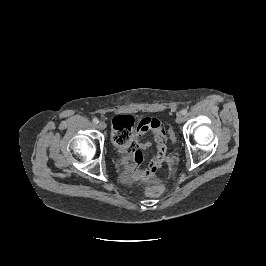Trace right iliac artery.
<instances>
[{"label": "right iliac artery", "instance_id": "1", "mask_svg": "<svg viewBox=\"0 0 266 266\" xmlns=\"http://www.w3.org/2000/svg\"><path fill=\"white\" fill-rule=\"evenodd\" d=\"M99 122V120L97 118L93 119V123L97 124Z\"/></svg>", "mask_w": 266, "mask_h": 266}]
</instances>
